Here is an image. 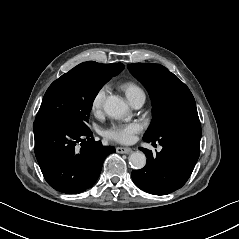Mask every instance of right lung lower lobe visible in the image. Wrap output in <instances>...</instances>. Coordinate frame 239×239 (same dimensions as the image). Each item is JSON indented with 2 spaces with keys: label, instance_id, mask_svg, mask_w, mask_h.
<instances>
[{
  "label": "right lung lower lobe",
  "instance_id": "1",
  "mask_svg": "<svg viewBox=\"0 0 239 239\" xmlns=\"http://www.w3.org/2000/svg\"><path fill=\"white\" fill-rule=\"evenodd\" d=\"M33 129L35 155L43 176L62 193H80L92 187L104 159L115 152L113 146L94 141L89 128L80 129L62 118L35 120Z\"/></svg>",
  "mask_w": 239,
  "mask_h": 239
}]
</instances>
